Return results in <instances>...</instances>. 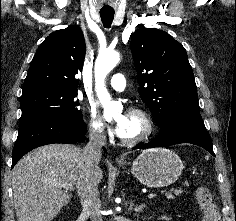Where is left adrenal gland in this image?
<instances>
[{
	"mask_svg": "<svg viewBox=\"0 0 236 221\" xmlns=\"http://www.w3.org/2000/svg\"><path fill=\"white\" fill-rule=\"evenodd\" d=\"M133 206H134L133 202L130 201V209H133ZM144 207H145V205H144V204H141V205H139V206H136V207L134 208V211H135V212H142Z\"/></svg>",
	"mask_w": 236,
	"mask_h": 221,
	"instance_id": "a2214340",
	"label": "left adrenal gland"
}]
</instances>
